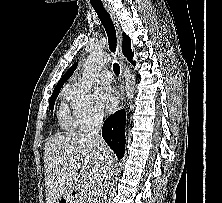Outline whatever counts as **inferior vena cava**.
Masks as SVG:
<instances>
[{
	"mask_svg": "<svg viewBox=\"0 0 222 203\" xmlns=\"http://www.w3.org/2000/svg\"><path fill=\"white\" fill-rule=\"evenodd\" d=\"M93 120L95 128L91 131V133L88 134V137L103 141L102 137L99 135L103 124V115L96 113L93 117ZM112 176L113 165L109 162L105 165L104 170L98 176L93 203H107V190Z\"/></svg>",
	"mask_w": 222,
	"mask_h": 203,
	"instance_id": "1",
	"label": "inferior vena cava"
}]
</instances>
